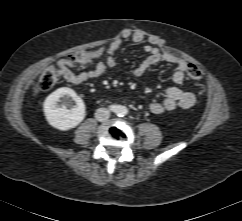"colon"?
Segmentation results:
<instances>
[{
	"label": "colon",
	"mask_w": 242,
	"mask_h": 221,
	"mask_svg": "<svg viewBox=\"0 0 242 221\" xmlns=\"http://www.w3.org/2000/svg\"><path fill=\"white\" fill-rule=\"evenodd\" d=\"M71 59L78 64H86L95 59V54L92 52H82L79 54H75L71 57ZM60 69L54 65L48 66L45 68L38 79V86L42 91L51 90L58 82L60 78ZM187 75L192 81H199L202 79V71L201 69L194 65L190 64L187 67Z\"/></svg>",
	"instance_id": "1"
}]
</instances>
